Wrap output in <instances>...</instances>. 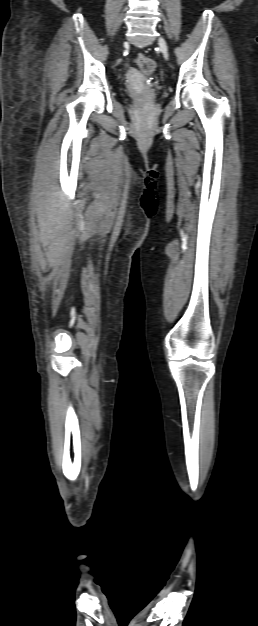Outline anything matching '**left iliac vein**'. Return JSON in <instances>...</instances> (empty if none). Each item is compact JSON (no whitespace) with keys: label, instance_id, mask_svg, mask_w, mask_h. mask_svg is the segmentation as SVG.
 I'll return each mask as SVG.
<instances>
[{"label":"left iliac vein","instance_id":"obj_1","mask_svg":"<svg viewBox=\"0 0 258 626\" xmlns=\"http://www.w3.org/2000/svg\"><path fill=\"white\" fill-rule=\"evenodd\" d=\"M159 47L165 59H168L169 57L168 47H167L166 41L162 37L159 38Z\"/></svg>","mask_w":258,"mask_h":626}]
</instances>
